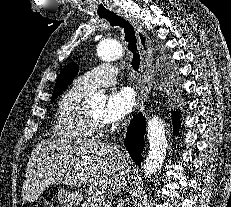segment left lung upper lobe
<instances>
[{"mask_svg": "<svg viewBox=\"0 0 231 207\" xmlns=\"http://www.w3.org/2000/svg\"><path fill=\"white\" fill-rule=\"evenodd\" d=\"M78 70L79 68L76 63H69L67 66L64 67V69L59 74L58 79L56 80L54 91L51 98L52 101L55 98H57L61 94V92L64 91V89L76 76Z\"/></svg>", "mask_w": 231, "mask_h": 207, "instance_id": "5c2ea615", "label": "left lung upper lobe"}]
</instances>
